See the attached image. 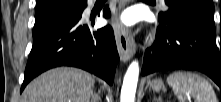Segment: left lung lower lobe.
Listing matches in <instances>:
<instances>
[{"mask_svg":"<svg viewBox=\"0 0 221 102\" xmlns=\"http://www.w3.org/2000/svg\"><path fill=\"white\" fill-rule=\"evenodd\" d=\"M173 69L201 71L221 89V47L215 41V27L185 12L160 20L156 40L144 55L142 75Z\"/></svg>","mask_w":221,"mask_h":102,"instance_id":"obj_1","label":"left lung lower lobe"}]
</instances>
